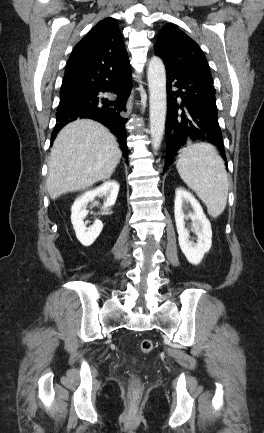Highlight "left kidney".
Instances as JSON below:
<instances>
[{
	"label": "left kidney",
	"mask_w": 264,
	"mask_h": 433,
	"mask_svg": "<svg viewBox=\"0 0 264 433\" xmlns=\"http://www.w3.org/2000/svg\"><path fill=\"white\" fill-rule=\"evenodd\" d=\"M185 204L191 205L193 213L184 214L183 207ZM174 215L180 248L188 262L198 265L212 245L210 221L206 218L200 203L182 187L175 190ZM185 218H190L193 222V228L198 237L197 243L189 240V231L185 228Z\"/></svg>",
	"instance_id": "obj_1"
}]
</instances>
